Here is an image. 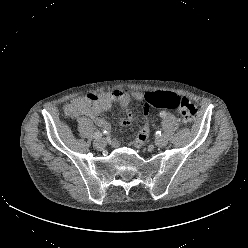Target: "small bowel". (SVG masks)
Returning a JSON list of instances; mask_svg holds the SVG:
<instances>
[{
    "mask_svg": "<svg viewBox=\"0 0 248 248\" xmlns=\"http://www.w3.org/2000/svg\"><path fill=\"white\" fill-rule=\"evenodd\" d=\"M143 97V93L139 91H128L125 89H118L105 93H90L83 97L71 100L65 106V113L72 118L87 116L98 126L108 131L110 124L102 116L103 112L107 111L113 103H119L125 115L122 125L129 126L134 121V115L128 109V105L132 100H143ZM112 145L117 147L119 142L113 140Z\"/></svg>",
    "mask_w": 248,
    "mask_h": 248,
    "instance_id": "c3829d8e",
    "label": "small bowel"
}]
</instances>
